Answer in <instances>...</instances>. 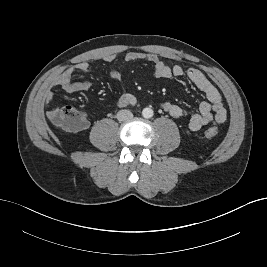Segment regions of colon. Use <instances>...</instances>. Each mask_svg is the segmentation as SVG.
<instances>
[{"label":"colon","mask_w":267,"mask_h":267,"mask_svg":"<svg viewBox=\"0 0 267 267\" xmlns=\"http://www.w3.org/2000/svg\"><path fill=\"white\" fill-rule=\"evenodd\" d=\"M53 123L68 132H75L82 128L84 119L81 113L72 107H64L58 109L52 118ZM207 138H214L217 136L215 128H209L204 132Z\"/></svg>","instance_id":"5ec220e1"}]
</instances>
